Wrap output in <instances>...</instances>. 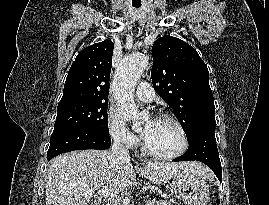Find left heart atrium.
<instances>
[{"label": "left heart atrium", "instance_id": "1", "mask_svg": "<svg viewBox=\"0 0 269 205\" xmlns=\"http://www.w3.org/2000/svg\"><path fill=\"white\" fill-rule=\"evenodd\" d=\"M154 121H155V120H151V121L148 123L147 127L143 130V132H142V136H143L144 138L148 135L150 129L152 128V126H153V124H154Z\"/></svg>", "mask_w": 269, "mask_h": 205}]
</instances>
